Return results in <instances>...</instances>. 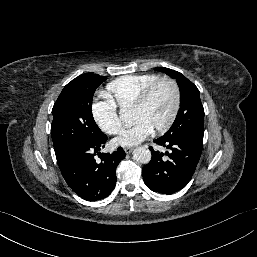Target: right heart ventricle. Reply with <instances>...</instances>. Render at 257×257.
Segmentation results:
<instances>
[{"instance_id":"1","label":"right heart ventricle","mask_w":257,"mask_h":257,"mask_svg":"<svg viewBox=\"0 0 257 257\" xmlns=\"http://www.w3.org/2000/svg\"><path fill=\"white\" fill-rule=\"evenodd\" d=\"M159 78L155 74L127 75L117 78L106 86V97L120 109H128L142 91Z\"/></svg>"}]
</instances>
